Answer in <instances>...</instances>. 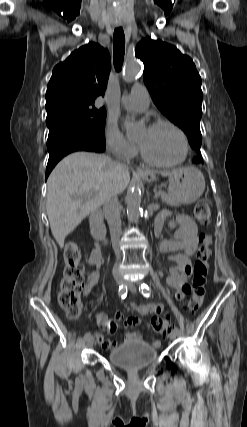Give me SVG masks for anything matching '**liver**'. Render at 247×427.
Segmentation results:
<instances>
[{
  "mask_svg": "<svg viewBox=\"0 0 247 427\" xmlns=\"http://www.w3.org/2000/svg\"><path fill=\"white\" fill-rule=\"evenodd\" d=\"M129 181L127 166L104 154L82 151L62 159L48 178L46 202L51 232L59 247L63 248L67 235L105 198L122 193Z\"/></svg>",
  "mask_w": 247,
  "mask_h": 427,
  "instance_id": "1",
  "label": "liver"
}]
</instances>
